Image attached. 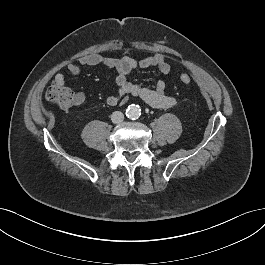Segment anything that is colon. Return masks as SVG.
<instances>
[{
  "instance_id": "colon-1",
  "label": "colon",
  "mask_w": 265,
  "mask_h": 265,
  "mask_svg": "<svg viewBox=\"0 0 265 265\" xmlns=\"http://www.w3.org/2000/svg\"><path fill=\"white\" fill-rule=\"evenodd\" d=\"M179 78L184 84H188L192 81L191 75L186 72L181 73ZM46 99L51 104L64 110L73 105L74 95L68 88L54 82L46 92Z\"/></svg>"
}]
</instances>
